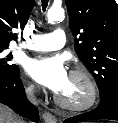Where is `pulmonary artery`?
<instances>
[{"mask_svg":"<svg viewBox=\"0 0 118 123\" xmlns=\"http://www.w3.org/2000/svg\"><path fill=\"white\" fill-rule=\"evenodd\" d=\"M66 41L63 29L57 28L49 34H34L20 47L35 51H53L62 48Z\"/></svg>","mask_w":118,"mask_h":123,"instance_id":"pulmonary-artery-1","label":"pulmonary artery"}]
</instances>
